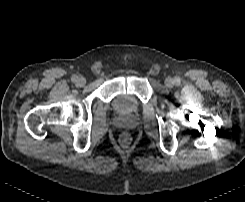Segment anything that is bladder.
I'll return each mask as SVG.
<instances>
[{
  "label": "bladder",
  "mask_w": 245,
  "mask_h": 202,
  "mask_svg": "<svg viewBox=\"0 0 245 202\" xmlns=\"http://www.w3.org/2000/svg\"><path fill=\"white\" fill-rule=\"evenodd\" d=\"M112 109L118 114H129L140 107L139 101L131 94L123 93L114 97Z\"/></svg>",
  "instance_id": "1"
}]
</instances>
